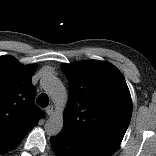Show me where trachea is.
<instances>
[{
  "label": "trachea",
  "instance_id": "obj_1",
  "mask_svg": "<svg viewBox=\"0 0 156 156\" xmlns=\"http://www.w3.org/2000/svg\"><path fill=\"white\" fill-rule=\"evenodd\" d=\"M37 104L40 107H46L49 104V98L47 96V94L42 93L37 97Z\"/></svg>",
  "mask_w": 156,
  "mask_h": 156
}]
</instances>
